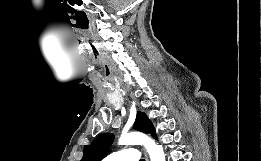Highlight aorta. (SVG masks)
<instances>
[{
    "mask_svg": "<svg viewBox=\"0 0 261 161\" xmlns=\"http://www.w3.org/2000/svg\"><path fill=\"white\" fill-rule=\"evenodd\" d=\"M120 145H143L151 161H165V154L161 145H157L150 137L143 133L131 132L122 134L119 139Z\"/></svg>",
    "mask_w": 261,
    "mask_h": 161,
    "instance_id": "obj_1",
    "label": "aorta"
}]
</instances>
